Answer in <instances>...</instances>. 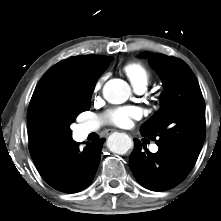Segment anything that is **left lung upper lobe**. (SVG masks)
I'll return each mask as SVG.
<instances>
[{
    "instance_id": "5c2ea615",
    "label": "left lung upper lobe",
    "mask_w": 221,
    "mask_h": 221,
    "mask_svg": "<svg viewBox=\"0 0 221 221\" xmlns=\"http://www.w3.org/2000/svg\"><path fill=\"white\" fill-rule=\"evenodd\" d=\"M142 57L150 58L165 90L161 108L141 126L140 132L193 167L206 134L205 103L198 81L189 66L178 58L151 53Z\"/></svg>"
}]
</instances>
